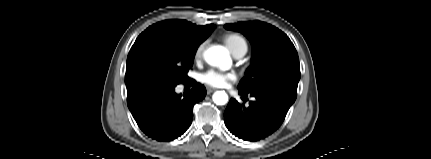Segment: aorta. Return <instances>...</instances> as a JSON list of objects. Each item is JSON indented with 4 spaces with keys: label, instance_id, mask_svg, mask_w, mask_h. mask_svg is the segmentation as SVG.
<instances>
[{
    "label": "aorta",
    "instance_id": "762f6f07",
    "mask_svg": "<svg viewBox=\"0 0 431 159\" xmlns=\"http://www.w3.org/2000/svg\"><path fill=\"white\" fill-rule=\"evenodd\" d=\"M205 60L212 66L224 67L230 63L228 51L222 46H214L204 53ZM213 101L217 105H225L228 102V95L225 91H216L213 94Z\"/></svg>",
    "mask_w": 431,
    "mask_h": 159
}]
</instances>
